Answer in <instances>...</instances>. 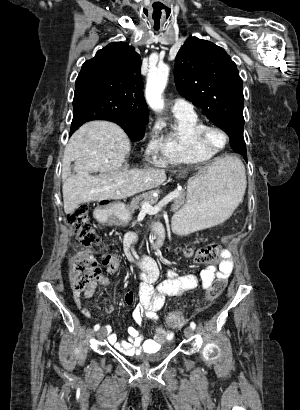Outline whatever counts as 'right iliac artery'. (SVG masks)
<instances>
[{"label": "right iliac artery", "mask_w": 300, "mask_h": 410, "mask_svg": "<svg viewBox=\"0 0 300 410\" xmlns=\"http://www.w3.org/2000/svg\"><path fill=\"white\" fill-rule=\"evenodd\" d=\"M99 328H100V325H99V324H96V325L94 326V330H95V331L99 330Z\"/></svg>", "instance_id": "82829eb1"}]
</instances>
